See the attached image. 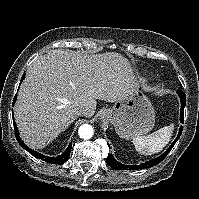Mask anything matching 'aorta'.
Segmentation results:
<instances>
[{
  "mask_svg": "<svg viewBox=\"0 0 199 199\" xmlns=\"http://www.w3.org/2000/svg\"><path fill=\"white\" fill-rule=\"evenodd\" d=\"M93 127L89 124H83L79 127L78 134L82 139H90L93 135Z\"/></svg>",
  "mask_w": 199,
  "mask_h": 199,
  "instance_id": "aorta-1",
  "label": "aorta"
}]
</instances>
